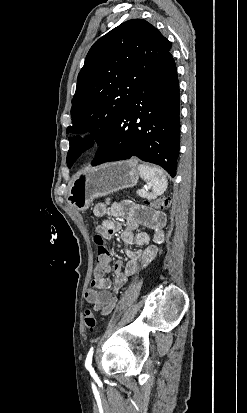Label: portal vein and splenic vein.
I'll list each match as a JSON object with an SVG mask.
<instances>
[{
  "instance_id": "obj_1",
  "label": "portal vein and splenic vein",
  "mask_w": 247,
  "mask_h": 413,
  "mask_svg": "<svg viewBox=\"0 0 247 413\" xmlns=\"http://www.w3.org/2000/svg\"><path fill=\"white\" fill-rule=\"evenodd\" d=\"M141 190H143V192H145V188H141Z\"/></svg>"
}]
</instances>
